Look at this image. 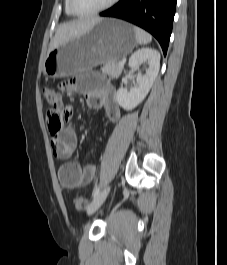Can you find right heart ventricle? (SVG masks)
I'll use <instances>...</instances> for the list:
<instances>
[{"instance_id": "e07e8e85", "label": "right heart ventricle", "mask_w": 227, "mask_h": 265, "mask_svg": "<svg viewBox=\"0 0 227 265\" xmlns=\"http://www.w3.org/2000/svg\"><path fill=\"white\" fill-rule=\"evenodd\" d=\"M64 7H65V12H66V14H67L68 16H75V15L71 12V10H70V8H69L68 0H65Z\"/></svg>"}]
</instances>
